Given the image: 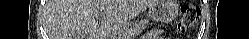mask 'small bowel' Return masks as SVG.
Listing matches in <instances>:
<instances>
[{"label": "small bowel", "instance_id": "obj_1", "mask_svg": "<svg viewBox=\"0 0 249 39\" xmlns=\"http://www.w3.org/2000/svg\"><path fill=\"white\" fill-rule=\"evenodd\" d=\"M144 39H167V36L165 33L160 31H152L148 33Z\"/></svg>", "mask_w": 249, "mask_h": 39}]
</instances>
